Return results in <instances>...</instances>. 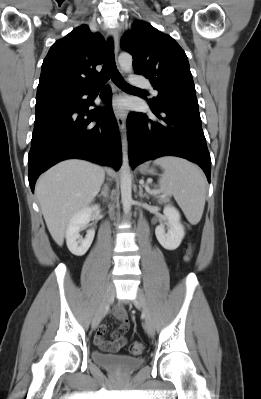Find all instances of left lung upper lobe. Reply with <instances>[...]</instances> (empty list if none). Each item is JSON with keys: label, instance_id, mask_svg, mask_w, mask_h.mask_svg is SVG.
<instances>
[{"label": "left lung upper lobe", "instance_id": "left-lung-upper-lobe-1", "mask_svg": "<svg viewBox=\"0 0 261 399\" xmlns=\"http://www.w3.org/2000/svg\"><path fill=\"white\" fill-rule=\"evenodd\" d=\"M121 46L133 56L135 73L144 75L158 90L151 106L181 101L198 104L187 56L171 36L136 21L122 37Z\"/></svg>", "mask_w": 261, "mask_h": 399}]
</instances>
